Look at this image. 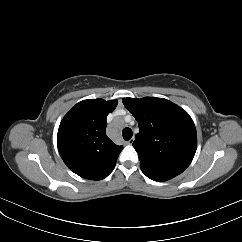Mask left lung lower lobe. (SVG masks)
Segmentation results:
<instances>
[{"label":"left lung lower lobe","instance_id":"left-lung-lower-lobe-1","mask_svg":"<svg viewBox=\"0 0 242 242\" xmlns=\"http://www.w3.org/2000/svg\"><path fill=\"white\" fill-rule=\"evenodd\" d=\"M155 181H166V180H155Z\"/></svg>","mask_w":242,"mask_h":242}]
</instances>
